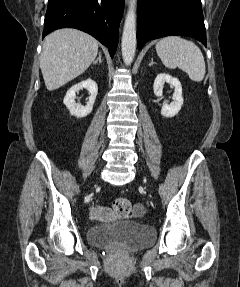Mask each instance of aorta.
<instances>
[{
  "label": "aorta",
  "instance_id": "1",
  "mask_svg": "<svg viewBox=\"0 0 240 287\" xmlns=\"http://www.w3.org/2000/svg\"><path fill=\"white\" fill-rule=\"evenodd\" d=\"M121 51L125 65H130L136 51V0H130L129 3L123 28Z\"/></svg>",
  "mask_w": 240,
  "mask_h": 287
}]
</instances>
